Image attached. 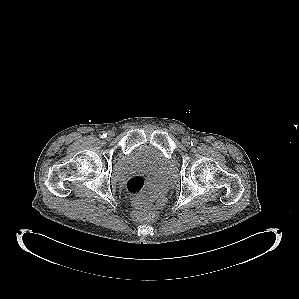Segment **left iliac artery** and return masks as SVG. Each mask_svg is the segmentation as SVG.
Returning a JSON list of instances; mask_svg holds the SVG:
<instances>
[{
  "instance_id": "44dca946",
  "label": "left iliac artery",
  "mask_w": 299,
  "mask_h": 299,
  "mask_svg": "<svg viewBox=\"0 0 299 299\" xmlns=\"http://www.w3.org/2000/svg\"><path fill=\"white\" fill-rule=\"evenodd\" d=\"M197 144V140L196 139H191V145L195 146Z\"/></svg>"
}]
</instances>
